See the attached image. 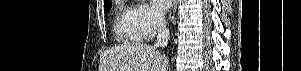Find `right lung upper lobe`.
Listing matches in <instances>:
<instances>
[{"label": "right lung upper lobe", "instance_id": "obj_1", "mask_svg": "<svg viewBox=\"0 0 301 71\" xmlns=\"http://www.w3.org/2000/svg\"><path fill=\"white\" fill-rule=\"evenodd\" d=\"M108 3H110L109 0H105V1H104V5H106V4H108Z\"/></svg>", "mask_w": 301, "mask_h": 71}]
</instances>
